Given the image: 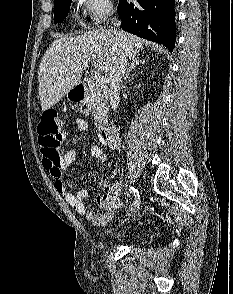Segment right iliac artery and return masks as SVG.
<instances>
[{
    "mask_svg": "<svg viewBox=\"0 0 233 294\" xmlns=\"http://www.w3.org/2000/svg\"><path fill=\"white\" fill-rule=\"evenodd\" d=\"M129 191H130V193H132L135 196L136 199L140 200V195H139V192H138V190L136 188L131 187L129 189Z\"/></svg>",
    "mask_w": 233,
    "mask_h": 294,
    "instance_id": "82829eb1",
    "label": "right iliac artery"
}]
</instances>
